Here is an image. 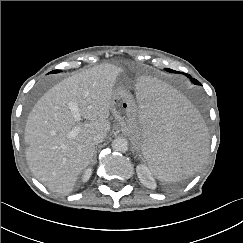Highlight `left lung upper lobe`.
<instances>
[{
	"instance_id": "obj_1",
	"label": "left lung upper lobe",
	"mask_w": 243,
	"mask_h": 243,
	"mask_svg": "<svg viewBox=\"0 0 243 243\" xmlns=\"http://www.w3.org/2000/svg\"><path fill=\"white\" fill-rule=\"evenodd\" d=\"M166 71H168V72H171V73H176V71H174V70H171V69H165ZM188 77H190V75H188V74H186ZM191 81L194 83V84H196V85H199L200 83L197 81V80H195V79H191Z\"/></svg>"
}]
</instances>
